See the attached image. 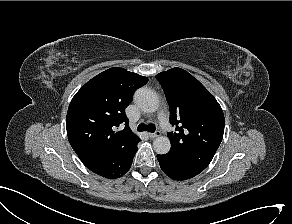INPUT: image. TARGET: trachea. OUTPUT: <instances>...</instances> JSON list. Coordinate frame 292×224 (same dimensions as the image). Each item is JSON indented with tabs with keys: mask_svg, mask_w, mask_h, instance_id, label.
Wrapping results in <instances>:
<instances>
[{
	"mask_svg": "<svg viewBox=\"0 0 292 224\" xmlns=\"http://www.w3.org/2000/svg\"><path fill=\"white\" fill-rule=\"evenodd\" d=\"M137 130L138 131H148V132H155L156 131V127L154 124H148V125H145L143 123L139 124L138 127H137Z\"/></svg>",
	"mask_w": 292,
	"mask_h": 224,
	"instance_id": "obj_1",
	"label": "trachea"
}]
</instances>
